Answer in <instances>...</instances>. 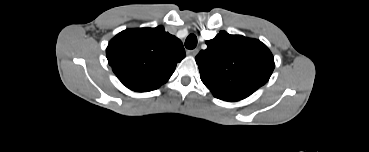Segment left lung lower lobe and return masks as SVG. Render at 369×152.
Instances as JSON below:
<instances>
[{
    "mask_svg": "<svg viewBox=\"0 0 369 152\" xmlns=\"http://www.w3.org/2000/svg\"><path fill=\"white\" fill-rule=\"evenodd\" d=\"M219 99H221V100H225V101H230V102H232V101H236V100L227 99V98H219Z\"/></svg>",
    "mask_w": 369,
    "mask_h": 152,
    "instance_id": "obj_1",
    "label": "left lung lower lobe"
}]
</instances>
